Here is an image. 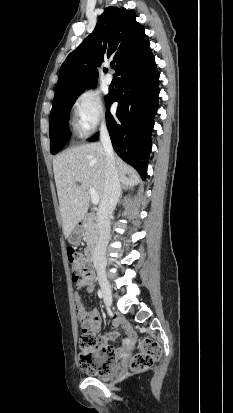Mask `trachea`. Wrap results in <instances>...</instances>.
<instances>
[{"label": "trachea", "mask_w": 233, "mask_h": 413, "mask_svg": "<svg viewBox=\"0 0 233 413\" xmlns=\"http://www.w3.org/2000/svg\"><path fill=\"white\" fill-rule=\"evenodd\" d=\"M114 64H115L114 62L111 63V67H112V68L114 67Z\"/></svg>", "instance_id": "obj_1"}]
</instances>
